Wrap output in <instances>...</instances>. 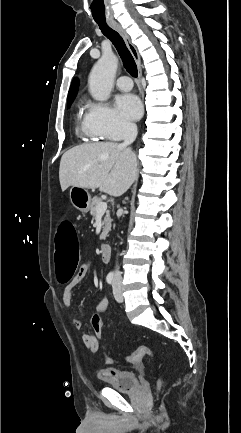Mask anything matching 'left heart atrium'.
I'll use <instances>...</instances> for the list:
<instances>
[{
	"label": "left heart atrium",
	"instance_id": "left-heart-atrium-1",
	"mask_svg": "<svg viewBox=\"0 0 241 433\" xmlns=\"http://www.w3.org/2000/svg\"><path fill=\"white\" fill-rule=\"evenodd\" d=\"M118 112L129 120H136L142 113V105L139 98L133 94H123L116 99Z\"/></svg>",
	"mask_w": 241,
	"mask_h": 433
}]
</instances>
